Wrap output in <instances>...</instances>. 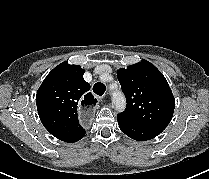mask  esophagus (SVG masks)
<instances>
[{
  "label": "esophagus",
  "instance_id": "obj_1",
  "mask_svg": "<svg viewBox=\"0 0 209 179\" xmlns=\"http://www.w3.org/2000/svg\"><path fill=\"white\" fill-rule=\"evenodd\" d=\"M102 98H97L100 101ZM97 100L92 94H85L83 99L78 103L80 111L81 125L84 128H89L92 125V116L95 114L94 107L97 105Z\"/></svg>",
  "mask_w": 209,
  "mask_h": 179
}]
</instances>
